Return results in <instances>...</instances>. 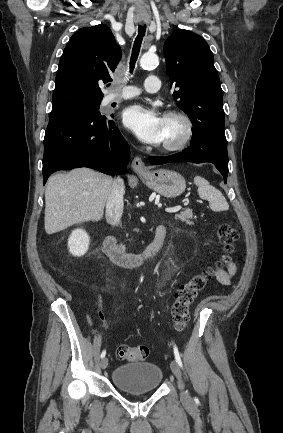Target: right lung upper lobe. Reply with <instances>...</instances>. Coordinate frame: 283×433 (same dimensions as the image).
Masks as SVG:
<instances>
[{"label": "right lung upper lobe", "instance_id": "right-lung-upper-lobe-1", "mask_svg": "<svg viewBox=\"0 0 283 433\" xmlns=\"http://www.w3.org/2000/svg\"><path fill=\"white\" fill-rule=\"evenodd\" d=\"M122 56L109 27L79 29L70 38L59 62L51 114L101 101L99 81L112 80Z\"/></svg>", "mask_w": 283, "mask_h": 433}]
</instances>
